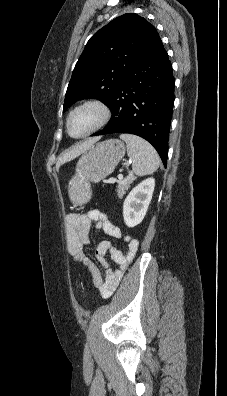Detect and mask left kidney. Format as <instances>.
<instances>
[{
  "label": "left kidney",
  "instance_id": "5707ae66",
  "mask_svg": "<svg viewBox=\"0 0 227 396\" xmlns=\"http://www.w3.org/2000/svg\"><path fill=\"white\" fill-rule=\"evenodd\" d=\"M155 187L154 178H147L134 187L123 204V218L128 227H135L144 219Z\"/></svg>",
  "mask_w": 227,
  "mask_h": 396
}]
</instances>
